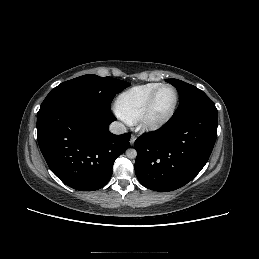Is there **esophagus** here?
<instances>
[{"mask_svg": "<svg viewBox=\"0 0 259 259\" xmlns=\"http://www.w3.org/2000/svg\"><path fill=\"white\" fill-rule=\"evenodd\" d=\"M135 140H136V137L135 135L132 134L130 137V144L133 145L135 143Z\"/></svg>", "mask_w": 259, "mask_h": 259, "instance_id": "34e87169", "label": "esophagus"}]
</instances>
